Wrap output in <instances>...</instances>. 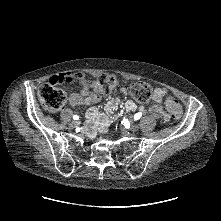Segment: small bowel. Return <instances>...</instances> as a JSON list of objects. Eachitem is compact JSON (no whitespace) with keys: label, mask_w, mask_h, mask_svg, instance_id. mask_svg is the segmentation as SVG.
<instances>
[{"label":"small bowel","mask_w":221,"mask_h":221,"mask_svg":"<svg viewBox=\"0 0 221 221\" xmlns=\"http://www.w3.org/2000/svg\"><path fill=\"white\" fill-rule=\"evenodd\" d=\"M82 75L79 71L74 70L71 73H62L58 76H51L48 79L49 84L51 85H60L69 82L77 83L81 80ZM123 94H127V90L125 88L122 89ZM167 91L163 87H157L153 91V100L155 102L149 108V112L156 118L162 119L164 121H168L170 116L167 112L169 111L167 100L172 97H166ZM100 100V97L96 94H88V95H78L73 94L71 96V101L69 104L71 106H81V105H91ZM119 99L116 97H111L107 100L104 112H101L96 107H91L88 109L86 113V120L88 126V132L90 135H94L95 131L99 132H107L109 130L111 124V114L117 109L119 105ZM125 109L129 112L135 111L138 109L137 104L129 99L125 102ZM142 109V108H140Z\"/></svg>","instance_id":"c3829d8e"}]
</instances>
